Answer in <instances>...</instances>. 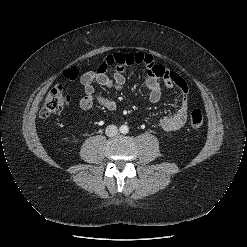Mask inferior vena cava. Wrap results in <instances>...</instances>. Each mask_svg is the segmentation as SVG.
<instances>
[{"instance_id":"1","label":"inferior vena cava","mask_w":247,"mask_h":247,"mask_svg":"<svg viewBox=\"0 0 247 247\" xmlns=\"http://www.w3.org/2000/svg\"><path fill=\"white\" fill-rule=\"evenodd\" d=\"M105 133L109 137H114L118 133V128L115 125H109L106 127Z\"/></svg>"}]
</instances>
